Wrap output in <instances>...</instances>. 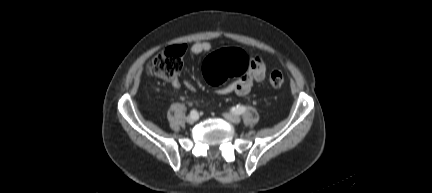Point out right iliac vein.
<instances>
[{"instance_id": "1", "label": "right iliac vein", "mask_w": 432, "mask_h": 193, "mask_svg": "<svg viewBox=\"0 0 432 193\" xmlns=\"http://www.w3.org/2000/svg\"><path fill=\"white\" fill-rule=\"evenodd\" d=\"M187 122L189 123V124H193L194 122H196L197 120H198V114L196 115V116H188L187 117Z\"/></svg>"}]
</instances>
